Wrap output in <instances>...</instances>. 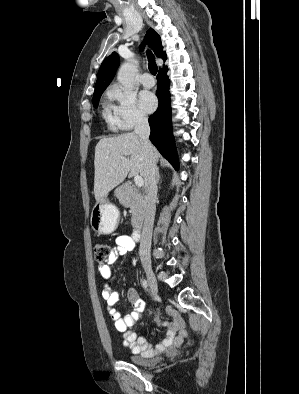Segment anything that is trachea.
<instances>
[{
	"instance_id": "1",
	"label": "trachea",
	"mask_w": 299,
	"mask_h": 394,
	"mask_svg": "<svg viewBox=\"0 0 299 394\" xmlns=\"http://www.w3.org/2000/svg\"><path fill=\"white\" fill-rule=\"evenodd\" d=\"M147 56L149 61L148 68L153 75H156L158 68L155 63L154 55L150 51H147Z\"/></svg>"
}]
</instances>
